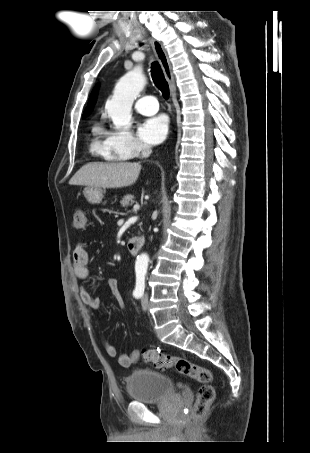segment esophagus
<instances>
[{
	"instance_id": "34e87169",
	"label": "esophagus",
	"mask_w": 310,
	"mask_h": 453,
	"mask_svg": "<svg viewBox=\"0 0 310 453\" xmlns=\"http://www.w3.org/2000/svg\"><path fill=\"white\" fill-rule=\"evenodd\" d=\"M149 42L152 45L153 50L160 62V65L163 69L165 78L170 87L171 96L173 97L176 92V86H175L174 75L172 72V67H171L169 58L167 56V53H166L165 49L163 48L162 44L158 40L150 38Z\"/></svg>"
}]
</instances>
